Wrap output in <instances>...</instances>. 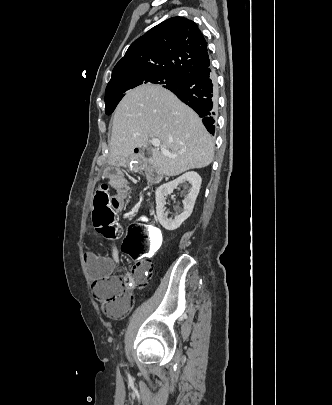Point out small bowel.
Segmentation results:
<instances>
[{
	"instance_id": "small-bowel-1",
	"label": "small bowel",
	"mask_w": 332,
	"mask_h": 405,
	"mask_svg": "<svg viewBox=\"0 0 332 405\" xmlns=\"http://www.w3.org/2000/svg\"><path fill=\"white\" fill-rule=\"evenodd\" d=\"M106 177H111L112 180L110 181V186L116 192H112L110 204L111 210L115 211L116 215H127L128 208L124 206L126 204V190L125 184L122 180V177L127 176V169L126 168H106L105 171ZM112 247V255L105 256L95 253L93 251H86L84 253V260L89 270L90 275L94 280H99L105 276H108L109 273L118 265V258H117V249L114 242H111ZM130 276H125V278H129ZM130 308V301L126 308L120 312V315L125 313Z\"/></svg>"
}]
</instances>
